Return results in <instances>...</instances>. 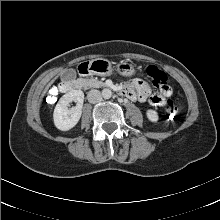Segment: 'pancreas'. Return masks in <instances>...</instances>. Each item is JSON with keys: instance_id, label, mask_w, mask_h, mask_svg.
<instances>
[{"instance_id": "obj_1", "label": "pancreas", "mask_w": 220, "mask_h": 220, "mask_svg": "<svg viewBox=\"0 0 220 220\" xmlns=\"http://www.w3.org/2000/svg\"><path fill=\"white\" fill-rule=\"evenodd\" d=\"M80 81L82 82L84 88L88 89V88H99V87H103L105 84L98 80L97 78H86V79H80Z\"/></svg>"}]
</instances>
